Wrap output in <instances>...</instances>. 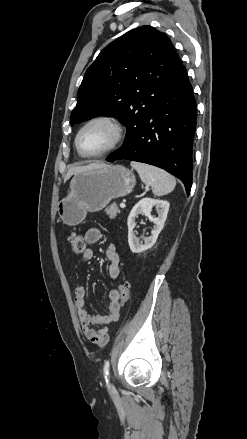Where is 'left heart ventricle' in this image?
Listing matches in <instances>:
<instances>
[{"mask_svg":"<svg viewBox=\"0 0 247 439\" xmlns=\"http://www.w3.org/2000/svg\"><path fill=\"white\" fill-rule=\"evenodd\" d=\"M112 140L111 127L105 123H95L82 133L79 144L84 153L92 154L108 147Z\"/></svg>","mask_w":247,"mask_h":439,"instance_id":"obj_1","label":"left heart ventricle"}]
</instances>
